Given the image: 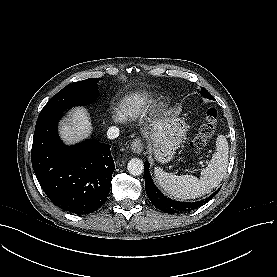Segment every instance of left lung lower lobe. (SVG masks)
<instances>
[{
    "label": "left lung lower lobe",
    "instance_id": "obj_1",
    "mask_svg": "<svg viewBox=\"0 0 277 277\" xmlns=\"http://www.w3.org/2000/svg\"><path fill=\"white\" fill-rule=\"evenodd\" d=\"M145 170H144V175H145V189L146 193L148 195V198L150 201L157 207L159 210L164 211L165 213L168 214H173V213H178V212H186V211H191L196 208H198L200 205L205 204L207 200H201L198 202H178L175 200H171L167 197H165L154 185L150 174H149V162L144 163ZM219 191V190H218ZM214 194L210 196L212 198Z\"/></svg>",
    "mask_w": 277,
    "mask_h": 277
}]
</instances>
